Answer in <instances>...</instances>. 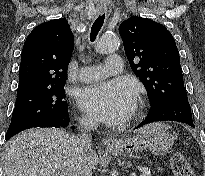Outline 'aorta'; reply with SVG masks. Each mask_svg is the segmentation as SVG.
I'll return each mask as SVG.
<instances>
[{
  "mask_svg": "<svg viewBox=\"0 0 205 176\" xmlns=\"http://www.w3.org/2000/svg\"><path fill=\"white\" fill-rule=\"evenodd\" d=\"M120 40L116 35H105L97 43L96 50L100 53H110L118 49Z\"/></svg>",
  "mask_w": 205,
  "mask_h": 176,
  "instance_id": "obj_1",
  "label": "aorta"
}]
</instances>
